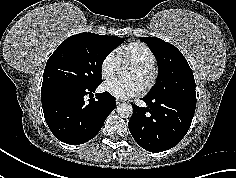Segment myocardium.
<instances>
[{
    "mask_svg": "<svg viewBox=\"0 0 236 178\" xmlns=\"http://www.w3.org/2000/svg\"><path fill=\"white\" fill-rule=\"evenodd\" d=\"M130 67L139 69L149 75L147 81L142 86L144 91H148L154 87L159 75L158 68L155 66V64L134 62L130 64Z\"/></svg>",
    "mask_w": 236,
    "mask_h": 178,
    "instance_id": "obj_1",
    "label": "myocardium"
}]
</instances>
